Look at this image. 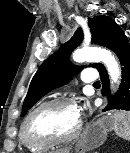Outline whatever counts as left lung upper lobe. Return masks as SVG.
Segmentation results:
<instances>
[{
	"instance_id": "obj_1",
	"label": "left lung upper lobe",
	"mask_w": 130,
	"mask_h": 153,
	"mask_svg": "<svg viewBox=\"0 0 130 153\" xmlns=\"http://www.w3.org/2000/svg\"><path fill=\"white\" fill-rule=\"evenodd\" d=\"M88 26L91 32V42L107 47L109 40L122 29L110 17L105 15L88 18ZM83 40V32L77 29L72 38L63 44L54 54L48 57L39 67L32 78L27 96L22 107V114L26 112L45 94L51 90L67 84L71 77L79 73L82 67L71 65L69 56ZM90 67L100 69L102 64H90Z\"/></svg>"
}]
</instances>
